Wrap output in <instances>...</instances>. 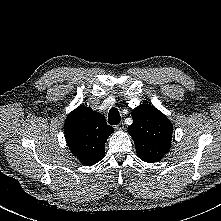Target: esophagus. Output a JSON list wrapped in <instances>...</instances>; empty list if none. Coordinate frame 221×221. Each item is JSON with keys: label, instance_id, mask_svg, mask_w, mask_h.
<instances>
[{"label": "esophagus", "instance_id": "34e87169", "mask_svg": "<svg viewBox=\"0 0 221 221\" xmlns=\"http://www.w3.org/2000/svg\"><path fill=\"white\" fill-rule=\"evenodd\" d=\"M116 130H123L124 129V123H119L115 126Z\"/></svg>", "mask_w": 221, "mask_h": 221}]
</instances>
